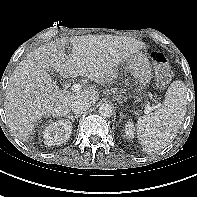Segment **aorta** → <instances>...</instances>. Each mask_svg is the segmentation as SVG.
<instances>
[{
	"label": "aorta",
	"mask_w": 197,
	"mask_h": 197,
	"mask_svg": "<svg viewBox=\"0 0 197 197\" xmlns=\"http://www.w3.org/2000/svg\"><path fill=\"white\" fill-rule=\"evenodd\" d=\"M99 114L103 117H110L113 113V106L110 103H103L100 105Z\"/></svg>",
	"instance_id": "aorta-1"
}]
</instances>
